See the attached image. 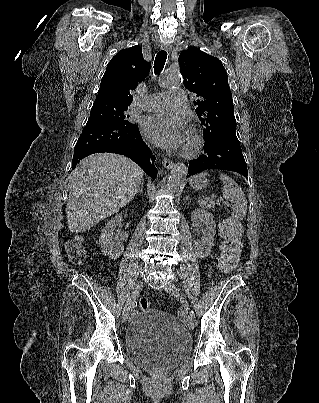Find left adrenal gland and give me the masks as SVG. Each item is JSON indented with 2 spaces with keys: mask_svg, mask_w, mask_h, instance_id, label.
Returning <instances> with one entry per match:
<instances>
[{
  "mask_svg": "<svg viewBox=\"0 0 319 403\" xmlns=\"http://www.w3.org/2000/svg\"><path fill=\"white\" fill-rule=\"evenodd\" d=\"M186 201L190 202V196L186 197Z\"/></svg>",
  "mask_w": 319,
  "mask_h": 403,
  "instance_id": "obj_1",
  "label": "left adrenal gland"
}]
</instances>
